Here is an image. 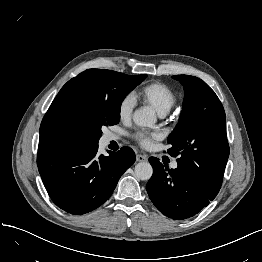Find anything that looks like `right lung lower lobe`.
I'll return each mask as SVG.
<instances>
[{
    "label": "right lung lower lobe",
    "mask_w": 262,
    "mask_h": 262,
    "mask_svg": "<svg viewBox=\"0 0 262 262\" xmlns=\"http://www.w3.org/2000/svg\"><path fill=\"white\" fill-rule=\"evenodd\" d=\"M98 144L76 140H40L38 170L53 202L81 215L106 202L121 175L134 163L129 147L98 155Z\"/></svg>",
    "instance_id": "obj_1"
}]
</instances>
